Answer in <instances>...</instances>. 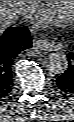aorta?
I'll use <instances>...</instances> for the list:
<instances>
[{
  "mask_svg": "<svg viewBox=\"0 0 74 122\" xmlns=\"http://www.w3.org/2000/svg\"><path fill=\"white\" fill-rule=\"evenodd\" d=\"M45 66L49 72L60 75L68 69V60L60 52L50 53L46 58Z\"/></svg>",
  "mask_w": 74,
  "mask_h": 122,
  "instance_id": "aorta-1",
  "label": "aorta"
}]
</instances>
